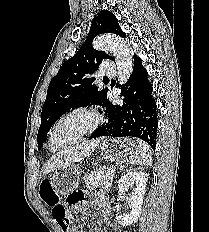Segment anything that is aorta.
Masks as SVG:
<instances>
[{"label":"aorta","mask_w":209,"mask_h":232,"mask_svg":"<svg viewBox=\"0 0 209 232\" xmlns=\"http://www.w3.org/2000/svg\"><path fill=\"white\" fill-rule=\"evenodd\" d=\"M97 50L111 51L117 65V75L120 84H124L132 71V54L129 46L121 38L112 35H100L93 41Z\"/></svg>","instance_id":"aorta-1"}]
</instances>
